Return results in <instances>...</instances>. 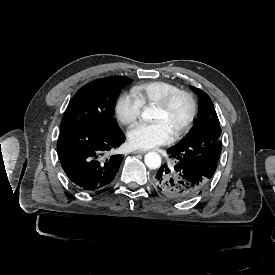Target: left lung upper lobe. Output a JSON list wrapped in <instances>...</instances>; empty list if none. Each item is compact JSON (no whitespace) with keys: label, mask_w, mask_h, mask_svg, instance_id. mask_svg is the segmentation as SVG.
<instances>
[{"label":"left lung upper lobe","mask_w":275,"mask_h":275,"mask_svg":"<svg viewBox=\"0 0 275 275\" xmlns=\"http://www.w3.org/2000/svg\"><path fill=\"white\" fill-rule=\"evenodd\" d=\"M191 88L197 93L200 106L195 125L168 153L171 158L212 178L221 153L220 123L210 97L198 88Z\"/></svg>","instance_id":"5c2ea615"}]
</instances>
